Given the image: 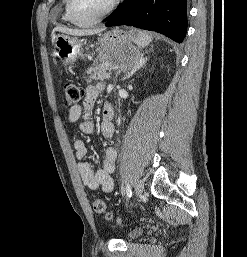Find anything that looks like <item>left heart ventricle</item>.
Listing matches in <instances>:
<instances>
[{
  "label": "left heart ventricle",
  "mask_w": 247,
  "mask_h": 257,
  "mask_svg": "<svg viewBox=\"0 0 247 257\" xmlns=\"http://www.w3.org/2000/svg\"><path fill=\"white\" fill-rule=\"evenodd\" d=\"M112 0H75V12L83 20H89L102 13Z\"/></svg>",
  "instance_id": "1"
}]
</instances>
